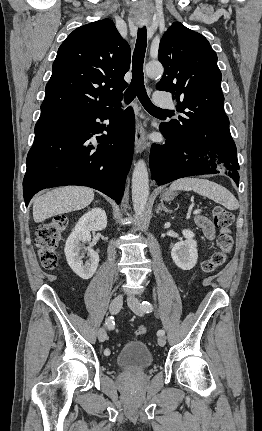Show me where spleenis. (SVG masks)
Here are the masks:
<instances>
[{"label":"spleen","instance_id":"1","mask_svg":"<svg viewBox=\"0 0 262 431\" xmlns=\"http://www.w3.org/2000/svg\"><path fill=\"white\" fill-rule=\"evenodd\" d=\"M175 190L194 191L222 204L229 210H236L239 207L237 199L229 190L222 185L207 179L196 177L180 178L175 180L170 186V191Z\"/></svg>","mask_w":262,"mask_h":431}]
</instances>
